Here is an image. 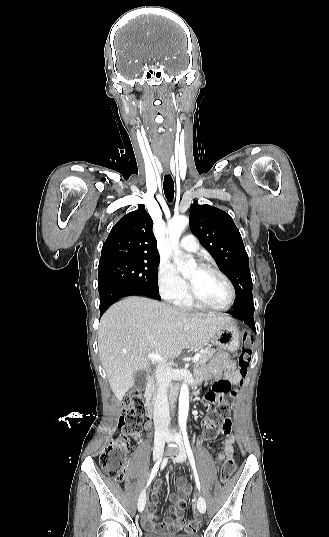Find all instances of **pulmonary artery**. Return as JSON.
<instances>
[{"instance_id": "obj_1", "label": "pulmonary artery", "mask_w": 329, "mask_h": 537, "mask_svg": "<svg viewBox=\"0 0 329 537\" xmlns=\"http://www.w3.org/2000/svg\"><path fill=\"white\" fill-rule=\"evenodd\" d=\"M180 247L186 251L196 252L199 249V244L192 234H188L181 239Z\"/></svg>"}]
</instances>
